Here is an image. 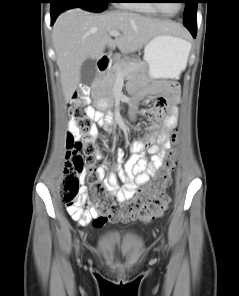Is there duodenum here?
<instances>
[{
  "mask_svg": "<svg viewBox=\"0 0 239 296\" xmlns=\"http://www.w3.org/2000/svg\"><path fill=\"white\" fill-rule=\"evenodd\" d=\"M111 65V59L109 56H100L97 61V70L98 72H104L106 71ZM81 91H84L82 89Z\"/></svg>",
  "mask_w": 239,
  "mask_h": 296,
  "instance_id": "obj_1",
  "label": "duodenum"
}]
</instances>
